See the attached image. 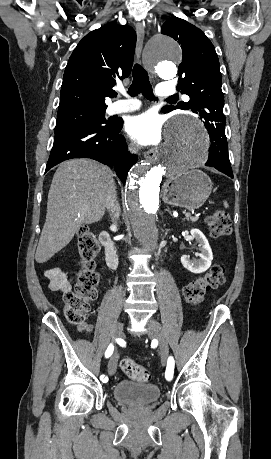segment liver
<instances>
[{"label": "liver", "instance_id": "1", "mask_svg": "<svg viewBox=\"0 0 271 459\" xmlns=\"http://www.w3.org/2000/svg\"><path fill=\"white\" fill-rule=\"evenodd\" d=\"M113 176L110 168L89 158L59 164L48 192L46 222L35 253L38 263L65 247L80 226L103 218L108 192L115 190Z\"/></svg>", "mask_w": 271, "mask_h": 459}]
</instances>
